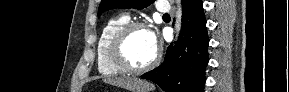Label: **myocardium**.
<instances>
[{
    "mask_svg": "<svg viewBox=\"0 0 289 92\" xmlns=\"http://www.w3.org/2000/svg\"><path fill=\"white\" fill-rule=\"evenodd\" d=\"M137 29H148L147 24L140 21H129L124 24L113 36L109 46V56L112 63L128 73H143L154 68L160 60V50L156 49L153 59L143 66L132 65L125 55V45L131 33Z\"/></svg>",
    "mask_w": 289,
    "mask_h": 92,
    "instance_id": "myocardium-1",
    "label": "myocardium"
}]
</instances>
